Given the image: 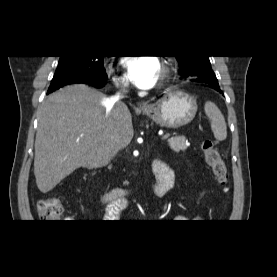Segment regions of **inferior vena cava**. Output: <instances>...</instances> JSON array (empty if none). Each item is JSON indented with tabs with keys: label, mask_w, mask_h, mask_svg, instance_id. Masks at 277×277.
Wrapping results in <instances>:
<instances>
[{
	"label": "inferior vena cava",
	"mask_w": 277,
	"mask_h": 277,
	"mask_svg": "<svg viewBox=\"0 0 277 277\" xmlns=\"http://www.w3.org/2000/svg\"><path fill=\"white\" fill-rule=\"evenodd\" d=\"M126 83H122L120 85V90L117 91L115 93V95H113L112 97H110L109 99L106 100V114L109 115L111 109L113 108V106L115 104L119 105V106H123L125 105L121 99L124 98L126 92H127V89H126Z\"/></svg>",
	"instance_id": "inferior-vena-cava-1"
}]
</instances>
